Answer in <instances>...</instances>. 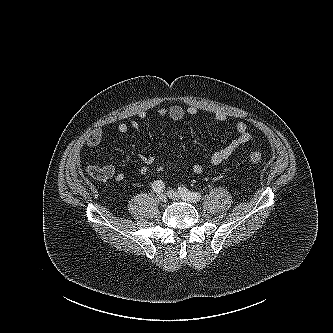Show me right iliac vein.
<instances>
[{"mask_svg":"<svg viewBox=\"0 0 333 333\" xmlns=\"http://www.w3.org/2000/svg\"><path fill=\"white\" fill-rule=\"evenodd\" d=\"M158 199L162 203H166L167 202V196L165 194H163V193H161V194L158 195Z\"/></svg>","mask_w":333,"mask_h":333,"instance_id":"right-iliac-vein-1","label":"right iliac vein"}]
</instances>
